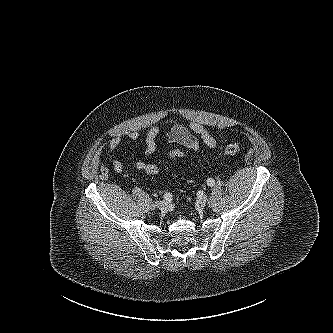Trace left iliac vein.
Returning <instances> with one entry per match:
<instances>
[{
  "label": "left iliac vein",
  "mask_w": 333,
  "mask_h": 333,
  "mask_svg": "<svg viewBox=\"0 0 333 333\" xmlns=\"http://www.w3.org/2000/svg\"><path fill=\"white\" fill-rule=\"evenodd\" d=\"M207 203V197L202 196L196 200V208L198 210H203Z\"/></svg>",
  "instance_id": "1"
}]
</instances>
